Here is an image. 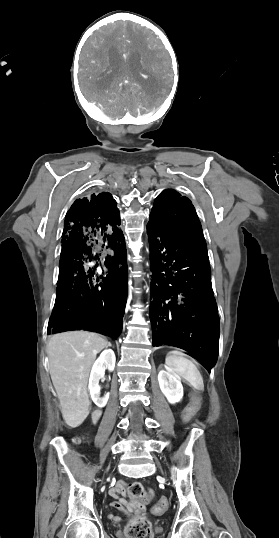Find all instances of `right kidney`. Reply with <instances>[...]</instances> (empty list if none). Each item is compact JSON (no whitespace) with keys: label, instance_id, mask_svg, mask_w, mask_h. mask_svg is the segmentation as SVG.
<instances>
[{"label":"right kidney","instance_id":"right-kidney-1","mask_svg":"<svg viewBox=\"0 0 279 538\" xmlns=\"http://www.w3.org/2000/svg\"><path fill=\"white\" fill-rule=\"evenodd\" d=\"M115 362L116 358L113 350H104V352L100 354L99 358H97L96 362L93 364L89 378V390L91 398L98 408H104L109 398V394H106V396L100 398L99 380H102L105 370L113 372ZM103 366H106V368H103Z\"/></svg>","mask_w":279,"mask_h":538}]
</instances>
